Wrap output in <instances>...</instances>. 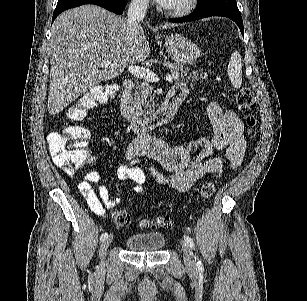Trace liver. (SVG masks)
Wrapping results in <instances>:
<instances>
[{
    "mask_svg": "<svg viewBox=\"0 0 307 301\" xmlns=\"http://www.w3.org/2000/svg\"><path fill=\"white\" fill-rule=\"evenodd\" d=\"M177 24L166 22L162 28ZM161 28V26H156ZM49 114L99 84L116 78L125 68L142 62L150 52L142 24L129 26L97 4H83L61 12L51 26ZM101 62H109L101 66Z\"/></svg>",
    "mask_w": 307,
    "mask_h": 301,
    "instance_id": "1",
    "label": "liver"
}]
</instances>
